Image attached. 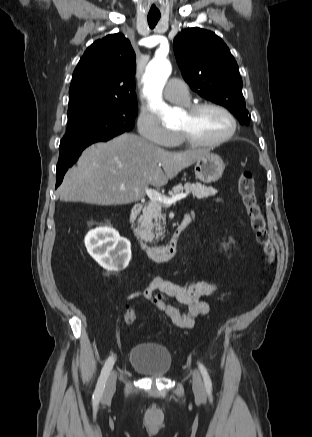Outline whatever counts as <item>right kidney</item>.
I'll list each match as a JSON object with an SVG mask.
<instances>
[{"label": "right kidney", "mask_w": 312, "mask_h": 437, "mask_svg": "<svg viewBox=\"0 0 312 437\" xmlns=\"http://www.w3.org/2000/svg\"><path fill=\"white\" fill-rule=\"evenodd\" d=\"M85 246L91 257L107 271L122 270L131 259L130 241L110 227L90 231L85 237Z\"/></svg>", "instance_id": "right-kidney-1"}]
</instances>
